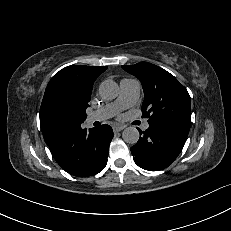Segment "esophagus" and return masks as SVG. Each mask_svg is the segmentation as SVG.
<instances>
[{
	"label": "esophagus",
	"mask_w": 231,
	"mask_h": 231,
	"mask_svg": "<svg viewBox=\"0 0 231 231\" xmlns=\"http://www.w3.org/2000/svg\"><path fill=\"white\" fill-rule=\"evenodd\" d=\"M124 128H125L124 125H116V126L113 127V131H114V132H120V131H122Z\"/></svg>",
	"instance_id": "1"
}]
</instances>
